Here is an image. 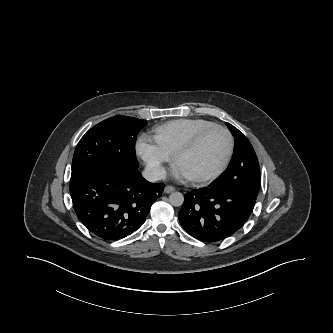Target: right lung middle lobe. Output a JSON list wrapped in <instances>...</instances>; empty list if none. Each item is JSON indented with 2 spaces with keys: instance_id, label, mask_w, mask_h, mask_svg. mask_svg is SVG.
I'll use <instances>...</instances> for the list:
<instances>
[{
  "instance_id": "1",
  "label": "right lung middle lobe",
  "mask_w": 333,
  "mask_h": 333,
  "mask_svg": "<svg viewBox=\"0 0 333 333\" xmlns=\"http://www.w3.org/2000/svg\"><path fill=\"white\" fill-rule=\"evenodd\" d=\"M146 124V120L115 116L95 125L76 146L71 180L92 172L126 173L136 170V135Z\"/></svg>"
}]
</instances>
